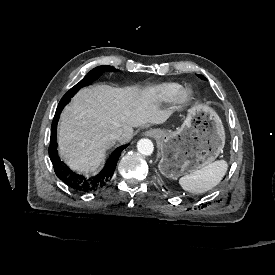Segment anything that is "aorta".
<instances>
[{
  "mask_svg": "<svg viewBox=\"0 0 275 275\" xmlns=\"http://www.w3.org/2000/svg\"><path fill=\"white\" fill-rule=\"evenodd\" d=\"M137 150L142 155L149 156L153 153L154 145L150 139L143 138L137 142Z\"/></svg>",
  "mask_w": 275,
  "mask_h": 275,
  "instance_id": "762f6f07",
  "label": "aorta"
}]
</instances>
